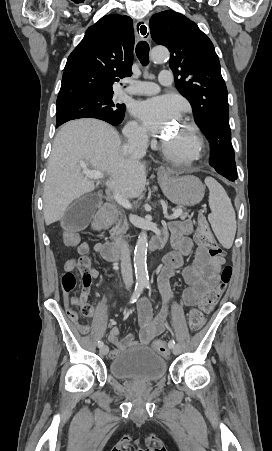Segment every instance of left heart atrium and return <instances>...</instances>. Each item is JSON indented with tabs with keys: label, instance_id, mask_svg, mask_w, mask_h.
<instances>
[{
	"label": "left heart atrium",
	"instance_id": "1",
	"mask_svg": "<svg viewBox=\"0 0 272 451\" xmlns=\"http://www.w3.org/2000/svg\"><path fill=\"white\" fill-rule=\"evenodd\" d=\"M180 107L169 96H162L142 103L138 113L148 131L163 133L178 118Z\"/></svg>",
	"mask_w": 272,
	"mask_h": 451
}]
</instances>
